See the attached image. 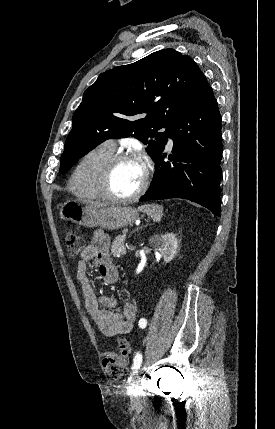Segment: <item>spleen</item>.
Wrapping results in <instances>:
<instances>
[{"label": "spleen", "mask_w": 275, "mask_h": 429, "mask_svg": "<svg viewBox=\"0 0 275 429\" xmlns=\"http://www.w3.org/2000/svg\"><path fill=\"white\" fill-rule=\"evenodd\" d=\"M138 210L146 213L155 222H159L163 216V206L158 204L143 205L138 207Z\"/></svg>", "instance_id": "1"}]
</instances>
